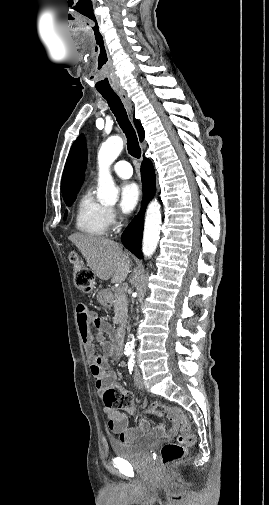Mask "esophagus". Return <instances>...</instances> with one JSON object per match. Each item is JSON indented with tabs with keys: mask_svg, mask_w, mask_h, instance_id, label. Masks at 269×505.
Wrapping results in <instances>:
<instances>
[{
	"mask_svg": "<svg viewBox=\"0 0 269 505\" xmlns=\"http://www.w3.org/2000/svg\"><path fill=\"white\" fill-rule=\"evenodd\" d=\"M116 92L119 95V97L121 98L122 102L124 103L127 111L131 115L132 114V104H131L129 97L127 96L126 91L123 89H118V90H116Z\"/></svg>",
	"mask_w": 269,
	"mask_h": 505,
	"instance_id": "34e87169",
	"label": "esophagus"
}]
</instances>
